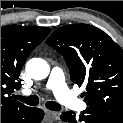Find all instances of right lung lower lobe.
<instances>
[{
	"mask_svg": "<svg viewBox=\"0 0 123 123\" xmlns=\"http://www.w3.org/2000/svg\"><path fill=\"white\" fill-rule=\"evenodd\" d=\"M44 117L43 110L33 107L15 109L1 116V123H40Z\"/></svg>",
	"mask_w": 123,
	"mask_h": 123,
	"instance_id": "98d812e1",
	"label": "right lung lower lobe"
}]
</instances>
